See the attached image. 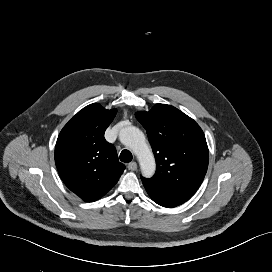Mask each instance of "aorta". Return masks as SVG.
I'll return each instance as SVG.
<instances>
[{
    "label": "aorta",
    "instance_id": "aorta-1",
    "mask_svg": "<svg viewBox=\"0 0 272 272\" xmlns=\"http://www.w3.org/2000/svg\"><path fill=\"white\" fill-rule=\"evenodd\" d=\"M119 138L124 145L133 149L139 160L143 176L152 177L155 173L156 164L143 132L135 126H128L121 130Z\"/></svg>",
    "mask_w": 272,
    "mask_h": 272
}]
</instances>
